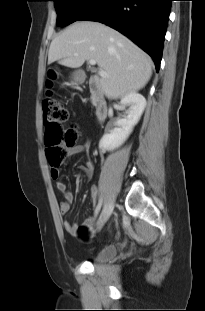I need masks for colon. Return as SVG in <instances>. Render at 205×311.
I'll return each instance as SVG.
<instances>
[{"label":"colon","instance_id":"5ec220e1","mask_svg":"<svg viewBox=\"0 0 205 311\" xmlns=\"http://www.w3.org/2000/svg\"><path fill=\"white\" fill-rule=\"evenodd\" d=\"M57 77V71H48L46 84L49 89L53 87ZM42 115L47 159L51 170L57 172V167L68 156L69 149L77 145L79 134L75 127L65 126L68 120V111L51 93L42 101ZM76 235L87 238L90 235V229L87 226H81L76 231Z\"/></svg>","mask_w":205,"mask_h":311}]
</instances>
